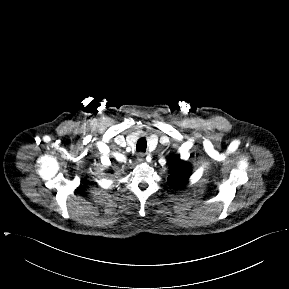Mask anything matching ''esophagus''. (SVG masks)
I'll return each instance as SVG.
<instances>
[{
  "mask_svg": "<svg viewBox=\"0 0 289 289\" xmlns=\"http://www.w3.org/2000/svg\"><path fill=\"white\" fill-rule=\"evenodd\" d=\"M137 159H138L139 162H143L145 160V153L139 152L137 154Z\"/></svg>",
  "mask_w": 289,
  "mask_h": 289,
  "instance_id": "1",
  "label": "esophagus"
}]
</instances>
